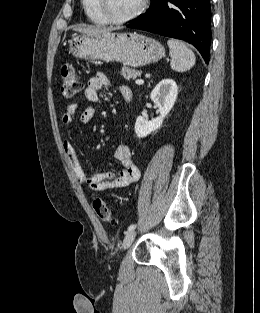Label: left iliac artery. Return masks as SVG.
Returning a JSON list of instances; mask_svg holds the SVG:
<instances>
[{
  "label": "left iliac artery",
  "mask_w": 260,
  "mask_h": 313,
  "mask_svg": "<svg viewBox=\"0 0 260 313\" xmlns=\"http://www.w3.org/2000/svg\"><path fill=\"white\" fill-rule=\"evenodd\" d=\"M136 228V224H131L129 227H128V231L130 230H133Z\"/></svg>",
  "instance_id": "obj_1"
}]
</instances>
